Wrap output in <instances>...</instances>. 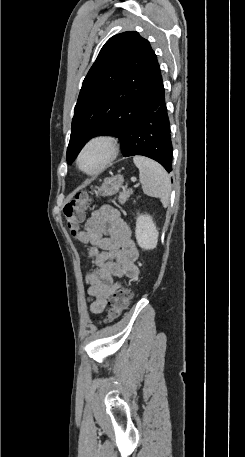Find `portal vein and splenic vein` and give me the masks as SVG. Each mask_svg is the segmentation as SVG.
I'll use <instances>...</instances> for the list:
<instances>
[{"label": "portal vein and splenic vein", "mask_w": 245, "mask_h": 457, "mask_svg": "<svg viewBox=\"0 0 245 457\" xmlns=\"http://www.w3.org/2000/svg\"><path fill=\"white\" fill-rule=\"evenodd\" d=\"M130 182H131V183H130V186H131V187H134L135 184H136V182H137L135 176H131V181H130Z\"/></svg>", "instance_id": "obj_1"}]
</instances>
